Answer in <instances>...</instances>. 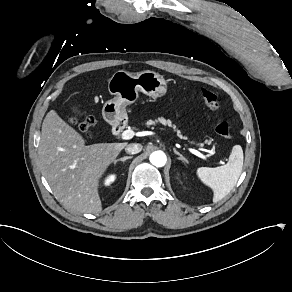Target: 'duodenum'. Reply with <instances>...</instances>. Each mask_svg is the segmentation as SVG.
<instances>
[{"instance_id": "410a0bca", "label": "duodenum", "mask_w": 292, "mask_h": 292, "mask_svg": "<svg viewBox=\"0 0 292 292\" xmlns=\"http://www.w3.org/2000/svg\"><path fill=\"white\" fill-rule=\"evenodd\" d=\"M123 131H124V126L122 125H116L112 129L113 134L116 136L121 135Z\"/></svg>"}]
</instances>
